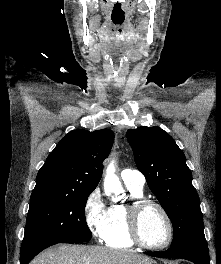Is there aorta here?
Returning <instances> with one entry per match:
<instances>
[{
    "instance_id": "762f6f07",
    "label": "aorta",
    "mask_w": 221,
    "mask_h": 264,
    "mask_svg": "<svg viewBox=\"0 0 221 264\" xmlns=\"http://www.w3.org/2000/svg\"><path fill=\"white\" fill-rule=\"evenodd\" d=\"M115 172L116 161L111 160L107 166L104 177V191L107 195H110L112 192L119 191L121 189V182Z\"/></svg>"
}]
</instances>
